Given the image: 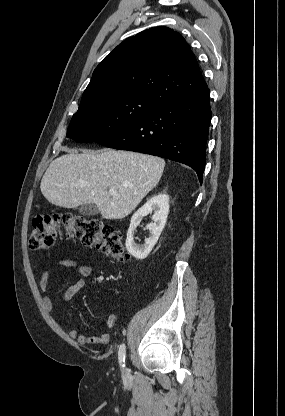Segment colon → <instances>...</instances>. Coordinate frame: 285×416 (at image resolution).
<instances>
[{"label": "colon", "instance_id": "5ec220e1", "mask_svg": "<svg viewBox=\"0 0 285 416\" xmlns=\"http://www.w3.org/2000/svg\"><path fill=\"white\" fill-rule=\"evenodd\" d=\"M65 233L83 245L96 247L105 256L125 259L122 236L119 231L95 218L71 214L45 215L33 220L29 247L33 251L50 248Z\"/></svg>", "mask_w": 285, "mask_h": 416}]
</instances>
